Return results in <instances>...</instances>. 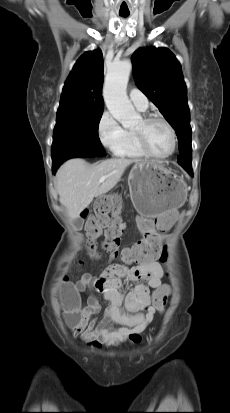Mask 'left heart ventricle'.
I'll return each mask as SVG.
<instances>
[{"label":"left heart ventricle","mask_w":230,"mask_h":413,"mask_svg":"<svg viewBox=\"0 0 230 413\" xmlns=\"http://www.w3.org/2000/svg\"><path fill=\"white\" fill-rule=\"evenodd\" d=\"M134 130L143 132L145 140L153 152L163 155L170 151L172 138L169 129L163 122L152 121L145 125L141 120Z\"/></svg>","instance_id":"1"}]
</instances>
